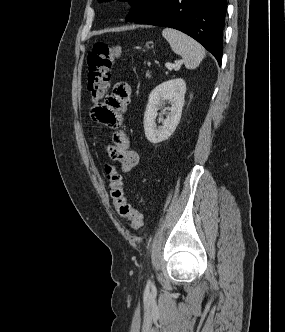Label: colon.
I'll return each instance as SVG.
<instances>
[{
    "mask_svg": "<svg viewBox=\"0 0 285 332\" xmlns=\"http://www.w3.org/2000/svg\"><path fill=\"white\" fill-rule=\"evenodd\" d=\"M121 56L119 46L97 42L88 54V91L94 103L100 102L106 95L110 83L112 64ZM110 187V197L118 214L125 218L133 231L143 225V215L127 200L123 178L118 169L107 164L105 167Z\"/></svg>",
    "mask_w": 285,
    "mask_h": 332,
    "instance_id": "colon-1",
    "label": "colon"
}]
</instances>
